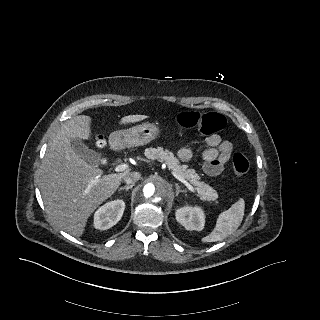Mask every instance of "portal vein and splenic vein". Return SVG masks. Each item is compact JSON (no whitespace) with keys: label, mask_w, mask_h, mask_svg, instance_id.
Listing matches in <instances>:
<instances>
[{"label":"portal vein and splenic vein","mask_w":320,"mask_h":320,"mask_svg":"<svg viewBox=\"0 0 320 320\" xmlns=\"http://www.w3.org/2000/svg\"><path fill=\"white\" fill-rule=\"evenodd\" d=\"M129 168V166L125 163L119 164L115 167L116 172L125 171ZM173 176L177 178L179 181H181L191 192H195V189L193 186L188 183L182 176L177 175L176 173L172 172Z\"/></svg>","instance_id":"portal-vein-and-splenic-vein-1"}]
</instances>
